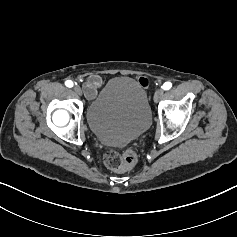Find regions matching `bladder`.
<instances>
[{"label":"bladder","instance_id":"bladder-1","mask_svg":"<svg viewBox=\"0 0 237 237\" xmlns=\"http://www.w3.org/2000/svg\"><path fill=\"white\" fill-rule=\"evenodd\" d=\"M151 119L145 88L127 76L110 79L86 111L91 132L108 145H124L138 138L149 128Z\"/></svg>","mask_w":237,"mask_h":237}]
</instances>
